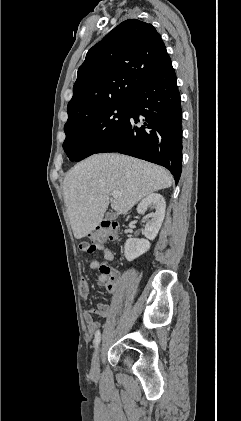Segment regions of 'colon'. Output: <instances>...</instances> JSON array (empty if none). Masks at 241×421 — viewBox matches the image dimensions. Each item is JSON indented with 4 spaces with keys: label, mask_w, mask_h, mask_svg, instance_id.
I'll use <instances>...</instances> for the list:
<instances>
[{
    "label": "colon",
    "mask_w": 241,
    "mask_h": 421,
    "mask_svg": "<svg viewBox=\"0 0 241 421\" xmlns=\"http://www.w3.org/2000/svg\"><path fill=\"white\" fill-rule=\"evenodd\" d=\"M117 236L118 225L114 222L103 221L90 236V242H81L80 249L85 253L92 254L97 251V247L99 245H102L110 240H115ZM100 270L104 274L110 275L112 268L107 264H102Z\"/></svg>",
    "instance_id": "colon-1"
}]
</instances>
